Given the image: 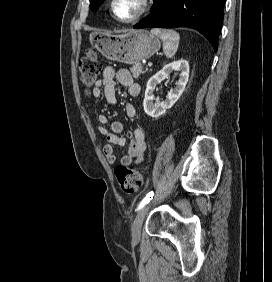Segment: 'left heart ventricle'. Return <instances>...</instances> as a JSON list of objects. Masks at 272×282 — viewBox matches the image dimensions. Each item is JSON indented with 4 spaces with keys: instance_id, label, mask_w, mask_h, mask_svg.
Listing matches in <instances>:
<instances>
[{
    "instance_id": "b2bd125f",
    "label": "left heart ventricle",
    "mask_w": 272,
    "mask_h": 282,
    "mask_svg": "<svg viewBox=\"0 0 272 282\" xmlns=\"http://www.w3.org/2000/svg\"><path fill=\"white\" fill-rule=\"evenodd\" d=\"M142 8V0H117L115 10L122 19L134 16Z\"/></svg>"
}]
</instances>
